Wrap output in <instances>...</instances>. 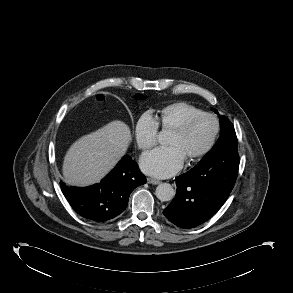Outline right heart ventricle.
I'll return each mask as SVG.
<instances>
[{"instance_id":"right-heart-ventricle-1","label":"right heart ventricle","mask_w":293,"mask_h":293,"mask_svg":"<svg viewBox=\"0 0 293 293\" xmlns=\"http://www.w3.org/2000/svg\"><path fill=\"white\" fill-rule=\"evenodd\" d=\"M202 110L188 102L178 101L157 110L155 120L163 130L173 131Z\"/></svg>"}]
</instances>
